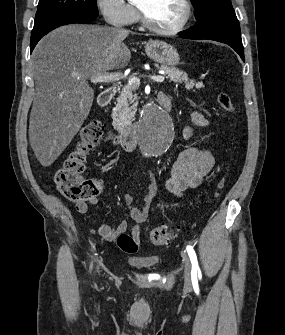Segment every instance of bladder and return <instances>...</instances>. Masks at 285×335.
I'll use <instances>...</instances> for the list:
<instances>
[{
	"label": "bladder",
	"instance_id": "1",
	"mask_svg": "<svg viewBox=\"0 0 285 335\" xmlns=\"http://www.w3.org/2000/svg\"><path fill=\"white\" fill-rule=\"evenodd\" d=\"M126 265H134L139 268H156L159 258H126Z\"/></svg>",
	"mask_w": 285,
	"mask_h": 335
}]
</instances>
